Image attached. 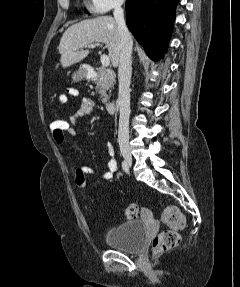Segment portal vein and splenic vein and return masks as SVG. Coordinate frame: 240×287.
<instances>
[{"mask_svg": "<svg viewBox=\"0 0 240 287\" xmlns=\"http://www.w3.org/2000/svg\"><path fill=\"white\" fill-rule=\"evenodd\" d=\"M96 46H98V44H90L88 46H86V48H95ZM76 50V49H75ZM101 63H102V66L103 67H108L110 65V60H109V57L105 54L101 55Z\"/></svg>", "mask_w": 240, "mask_h": 287, "instance_id": "obj_1", "label": "portal vein and splenic vein"}]
</instances>
